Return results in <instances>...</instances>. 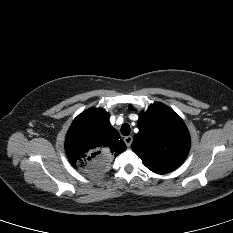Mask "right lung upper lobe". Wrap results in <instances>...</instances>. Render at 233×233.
Returning a JSON list of instances; mask_svg holds the SVG:
<instances>
[{
    "mask_svg": "<svg viewBox=\"0 0 233 233\" xmlns=\"http://www.w3.org/2000/svg\"><path fill=\"white\" fill-rule=\"evenodd\" d=\"M125 150V143L109 122L108 112L99 108L78 115L65 140L70 163L90 175L106 172L111 161Z\"/></svg>",
    "mask_w": 233,
    "mask_h": 233,
    "instance_id": "right-lung-upper-lobe-1",
    "label": "right lung upper lobe"
}]
</instances>
